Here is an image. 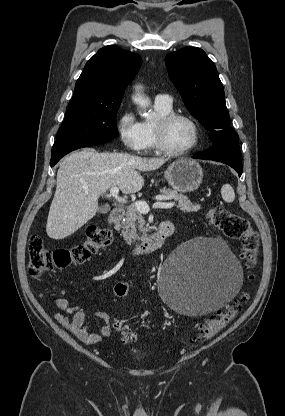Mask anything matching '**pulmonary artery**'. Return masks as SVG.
Wrapping results in <instances>:
<instances>
[{
	"label": "pulmonary artery",
	"mask_w": 285,
	"mask_h": 416,
	"mask_svg": "<svg viewBox=\"0 0 285 416\" xmlns=\"http://www.w3.org/2000/svg\"><path fill=\"white\" fill-rule=\"evenodd\" d=\"M156 102H161L165 105L171 106L172 105V97L168 94H157L155 97Z\"/></svg>",
	"instance_id": "obj_1"
}]
</instances>
